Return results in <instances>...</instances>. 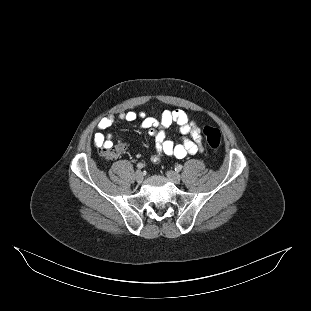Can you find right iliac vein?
I'll return each mask as SVG.
<instances>
[{
    "mask_svg": "<svg viewBox=\"0 0 311 311\" xmlns=\"http://www.w3.org/2000/svg\"><path fill=\"white\" fill-rule=\"evenodd\" d=\"M143 178H144L143 173L140 170L136 171V173H135V180L138 183H141L143 181Z\"/></svg>",
    "mask_w": 311,
    "mask_h": 311,
    "instance_id": "1",
    "label": "right iliac vein"
}]
</instances>
